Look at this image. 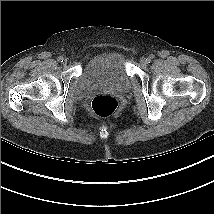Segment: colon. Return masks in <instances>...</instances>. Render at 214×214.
Returning <instances> with one entry per match:
<instances>
[{"label": "colon", "instance_id": "colon-1", "mask_svg": "<svg viewBox=\"0 0 214 214\" xmlns=\"http://www.w3.org/2000/svg\"><path fill=\"white\" fill-rule=\"evenodd\" d=\"M118 108V100L110 94L97 95L92 100L93 111L101 116L108 117L112 115Z\"/></svg>", "mask_w": 214, "mask_h": 214}]
</instances>
